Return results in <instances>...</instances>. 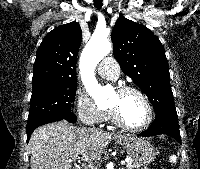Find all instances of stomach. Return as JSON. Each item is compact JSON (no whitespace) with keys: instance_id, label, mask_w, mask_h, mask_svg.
<instances>
[{"instance_id":"0dacf381","label":"stomach","mask_w":200,"mask_h":169,"mask_svg":"<svg viewBox=\"0 0 200 169\" xmlns=\"http://www.w3.org/2000/svg\"><path fill=\"white\" fill-rule=\"evenodd\" d=\"M117 140L138 167L148 165L155 159L156 151L148 141L128 136H119Z\"/></svg>"}]
</instances>
